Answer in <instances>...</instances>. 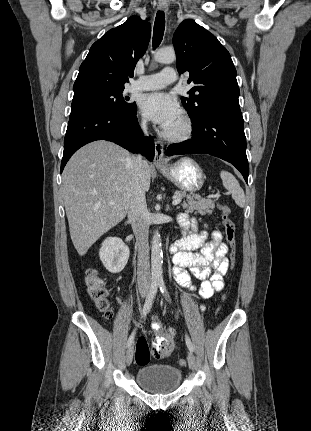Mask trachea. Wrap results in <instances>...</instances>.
<instances>
[{
  "mask_svg": "<svg viewBox=\"0 0 311 431\" xmlns=\"http://www.w3.org/2000/svg\"><path fill=\"white\" fill-rule=\"evenodd\" d=\"M165 31V15L164 12L159 11L156 14L153 31V48L156 49L163 39Z\"/></svg>",
  "mask_w": 311,
  "mask_h": 431,
  "instance_id": "trachea-1",
  "label": "trachea"
}]
</instances>
